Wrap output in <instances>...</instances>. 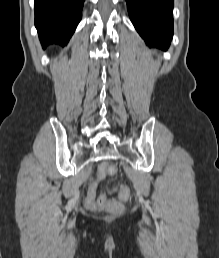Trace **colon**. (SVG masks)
<instances>
[{
  "label": "colon",
  "instance_id": "obj_1",
  "mask_svg": "<svg viewBox=\"0 0 219 258\" xmlns=\"http://www.w3.org/2000/svg\"><path fill=\"white\" fill-rule=\"evenodd\" d=\"M117 172V167L109 162H103L98 170L97 181H95L89 188L86 198V204L91 209H106L110 212L117 213L122 210V204L114 199H109L105 195L100 194L97 196L96 187L97 182L107 175H114ZM131 193L127 186L122 185L119 188V197L122 201L130 199Z\"/></svg>",
  "mask_w": 219,
  "mask_h": 258
}]
</instances>
